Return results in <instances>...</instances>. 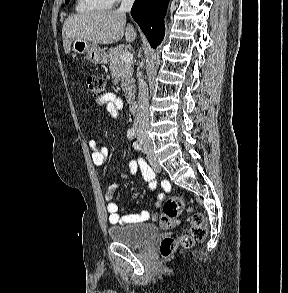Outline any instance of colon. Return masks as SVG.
I'll use <instances>...</instances> for the list:
<instances>
[{"mask_svg":"<svg viewBox=\"0 0 288 293\" xmlns=\"http://www.w3.org/2000/svg\"><path fill=\"white\" fill-rule=\"evenodd\" d=\"M86 87L94 97H101L106 90V81L99 75H88ZM184 203L182 198L172 196L165 200L160 216V226L163 229H171L179 222ZM207 235V226L201 213L191 211V228L188 235L179 238L165 237L160 242V253L163 257H169L178 247L190 248L196 241L203 240Z\"/></svg>","mask_w":288,"mask_h":293,"instance_id":"5ec220e1","label":"colon"}]
</instances>
